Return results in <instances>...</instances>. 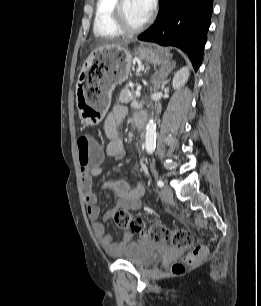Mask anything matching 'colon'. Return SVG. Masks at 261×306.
I'll return each instance as SVG.
<instances>
[{"label":"colon","mask_w":261,"mask_h":306,"mask_svg":"<svg viewBox=\"0 0 261 306\" xmlns=\"http://www.w3.org/2000/svg\"><path fill=\"white\" fill-rule=\"evenodd\" d=\"M79 162L82 167L97 163L101 160L102 147L93 140L89 133H82L77 139ZM112 218L117 227L123 230H131L158 242H169L173 247L186 249L192 246L194 238L186 229H170L159 223H146L140 218H135L125 210L114 211ZM207 256V249L203 246L193 248L183 262L173 265L174 273H183L187 267L202 262Z\"/></svg>","instance_id":"obj_1"}]
</instances>
